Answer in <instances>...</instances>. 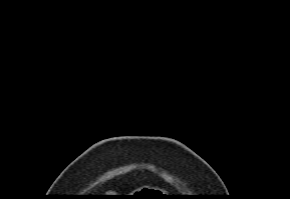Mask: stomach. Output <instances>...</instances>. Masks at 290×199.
<instances>
[{"mask_svg":"<svg viewBox=\"0 0 290 199\" xmlns=\"http://www.w3.org/2000/svg\"><path fill=\"white\" fill-rule=\"evenodd\" d=\"M158 191L157 188H151V187H147V191ZM139 192H141V189L139 190Z\"/></svg>","mask_w":290,"mask_h":199,"instance_id":"0dacf381","label":"stomach"}]
</instances>
